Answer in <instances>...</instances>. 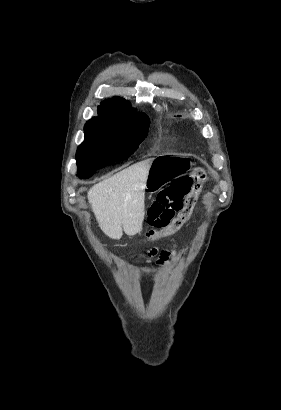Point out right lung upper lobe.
<instances>
[{
    "instance_id": "cb5924a9",
    "label": "right lung upper lobe",
    "mask_w": 281,
    "mask_h": 410,
    "mask_svg": "<svg viewBox=\"0 0 281 410\" xmlns=\"http://www.w3.org/2000/svg\"><path fill=\"white\" fill-rule=\"evenodd\" d=\"M98 117L92 119L112 121V122H131L139 118L147 117L144 113L136 112L131 108L128 101L121 97H114L102 101L98 106Z\"/></svg>"
}]
</instances>
